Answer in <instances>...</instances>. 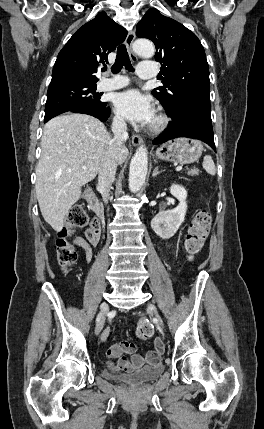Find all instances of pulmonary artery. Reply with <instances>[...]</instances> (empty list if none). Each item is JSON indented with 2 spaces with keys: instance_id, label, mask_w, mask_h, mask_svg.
Wrapping results in <instances>:
<instances>
[{
  "instance_id": "pulmonary-artery-1",
  "label": "pulmonary artery",
  "mask_w": 264,
  "mask_h": 429,
  "mask_svg": "<svg viewBox=\"0 0 264 429\" xmlns=\"http://www.w3.org/2000/svg\"><path fill=\"white\" fill-rule=\"evenodd\" d=\"M158 69L154 62L145 61L138 65V75L142 79H150L157 75ZM127 77L116 75L106 78L98 83V89L102 91L116 90L128 85Z\"/></svg>"
}]
</instances>
